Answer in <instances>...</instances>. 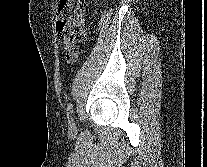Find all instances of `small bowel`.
<instances>
[{"instance_id":"1","label":"small bowel","mask_w":207,"mask_h":167,"mask_svg":"<svg viewBox=\"0 0 207 167\" xmlns=\"http://www.w3.org/2000/svg\"><path fill=\"white\" fill-rule=\"evenodd\" d=\"M65 45V58L66 61L70 64L74 63L77 60L78 57V53H77V49L75 46H69L66 43H64Z\"/></svg>"}]
</instances>
